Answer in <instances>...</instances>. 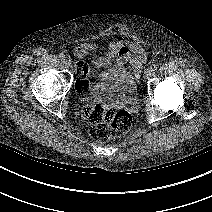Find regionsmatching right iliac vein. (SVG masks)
<instances>
[{
  "label": "right iliac vein",
  "mask_w": 212,
  "mask_h": 212,
  "mask_svg": "<svg viewBox=\"0 0 212 212\" xmlns=\"http://www.w3.org/2000/svg\"><path fill=\"white\" fill-rule=\"evenodd\" d=\"M64 65L66 68L70 67V62L68 60H64Z\"/></svg>",
  "instance_id": "1"
}]
</instances>
